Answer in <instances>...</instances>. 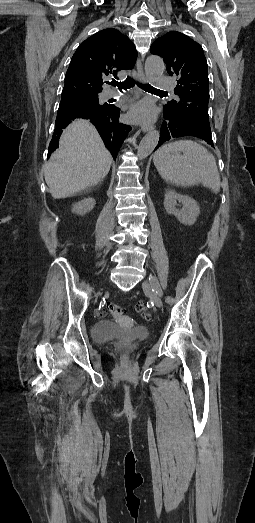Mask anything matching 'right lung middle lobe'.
<instances>
[{"label": "right lung middle lobe", "mask_w": 255, "mask_h": 523, "mask_svg": "<svg viewBox=\"0 0 255 523\" xmlns=\"http://www.w3.org/2000/svg\"><path fill=\"white\" fill-rule=\"evenodd\" d=\"M73 104L76 107H81L83 109H86L90 106V99L86 96H76L73 99Z\"/></svg>", "instance_id": "obj_1"}]
</instances>
